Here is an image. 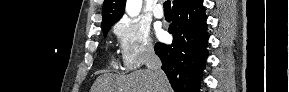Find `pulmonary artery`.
Instances as JSON below:
<instances>
[{
	"label": "pulmonary artery",
	"instance_id": "1",
	"mask_svg": "<svg viewBox=\"0 0 289 92\" xmlns=\"http://www.w3.org/2000/svg\"><path fill=\"white\" fill-rule=\"evenodd\" d=\"M153 14L156 18H159V19L164 17V13H163L161 5L159 4L156 5V7L153 10Z\"/></svg>",
	"mask_w": 289,
	"mask_h": 92
}]
</instances>
